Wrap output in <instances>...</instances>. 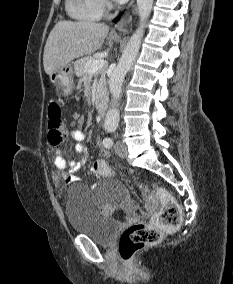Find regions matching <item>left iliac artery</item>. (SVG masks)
Returning a JSON list of instances; mask_svg holds the SVG:
<instances>
[{"instance_id": "left-iliac-artery-1", "label": "left iliac artery", "mask_w": 233, "mask_h": 284, "mask_svg": "<svg viewBox=\"0 0 233 284\" xmlns=\"http://www.w3.org/2000/svg\"><path fill=\"white\" fill-rule=\"evenodd\" d=\"M103 145L106 147V148H111L112 145H113V140L111 138H105L103 140Z\"/></svg>"}]
</instances>
